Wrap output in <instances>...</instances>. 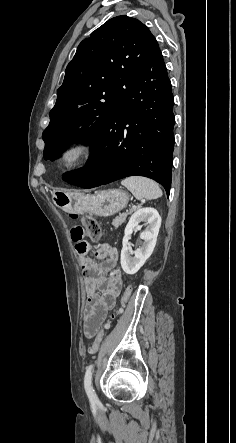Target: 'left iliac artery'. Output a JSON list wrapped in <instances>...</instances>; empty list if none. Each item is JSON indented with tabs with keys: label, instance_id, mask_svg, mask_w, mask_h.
<instances>
[{
	"label": "left iliac artery",
	"instance_id": "1",
	"mask_svg": "<svg viewBox=\"0 0 236 443\" xmlns=\"http://www.w3.org/2000/svg\"><path fill=\"white\" fill-rule=\"evenodd\" d=\"M93 367H94L93 364H91L87 367L85 377H84L85 391H86V394H87L91 403H95L98 401V397H97L95 390L92 386Z\"/></svg>",
	"mask_w": 236,
	"mask_h": 443
}]
</instances>
